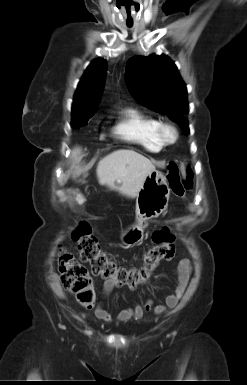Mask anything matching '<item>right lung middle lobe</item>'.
I'll return each instance as SVG.
<instances>
[{
	"instance_id": "obj_1",
	"label": "right lung middle lobe",
	"mask_w": 247,
	"mask_h": 385,
	"mask_svg": "<svg viewBox=\"0 0 247 385\" xmlns=\"http://www.w3.org/2000/svg\"><path fill=\"white\" fill-rule=\"evenodd\" d=\"M95 112L96 111L72 113V125L75 127L85 126Z\"/></svg>"
}]
</instances>
